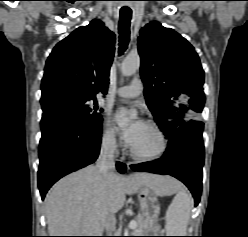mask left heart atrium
Segmentation results:
<instances>
[{"mask_svg": "<svg viewBox=\"0 0 248 237\" xmlns=\"http://www.w3.org/2000/svg\"><path fill=\"white\" fill-rule=\"evenodd\" d=\"M123 111L119 110L116 113V118L122 115ZM145 124L142 119H136L134 122L130 124L129 127L123 130L122 135L125 142L132 146L133 143L136 141L138 136L140 135L142 129L144 128Z\"/></svg>", "mask_w": 248, "mask_h": 237, "instance_id": "left-heart-atrium-1", "label": "left heart atrium"}]
</instances>
